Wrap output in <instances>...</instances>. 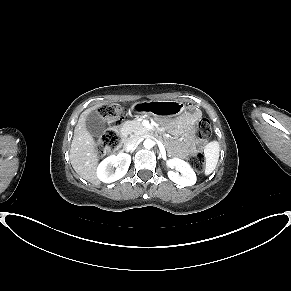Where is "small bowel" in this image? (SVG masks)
<instances>
[{
	"label": "small bowel",
	"instance_id": "c3829d8e",
	"mask_svg": "<svg viewBox=\"0 0 291 291\" xmlns=\"http://www.w3.org/2000/svg\"><path fill=\"white\" fill-rule=\"evenodd\" d=\"M177 117L165 122L164 126L177 137L171 146L172 155L183 159L196 148L193 140V124L200 119L201 112L195 106H185L178 110Z\"/></svg>",
	"mask_w": 291,
	"mask_h": 291
}]
</instances>
